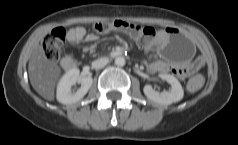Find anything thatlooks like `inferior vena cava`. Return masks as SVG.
I'll return each instance as SVG.
<instances>
[{"mask_svg": "<svg viewBox=\"0 0 238 145\" xmlns=\"http://www.w3.org/2000/svg\"><path fill=\"white\" fill-rule=\"evenodd\" d=\"M108 62H109L108 58H99L92 62V68L94 69L103 68L104 66L107 65Z\"/></svg>", "mask_w": 238, "mask_h": 145, "instance_id": "602c4592", "label": "inferior vena cava"}]
</instances>
